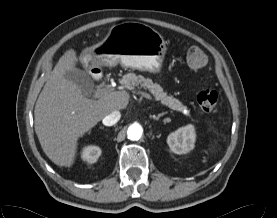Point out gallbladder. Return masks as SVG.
Segmentation results:
<instances>
[{"label":"gallbladder","mask_w":277,"mask_h":218,"mask_svg":"<svg viewBox=\"0 0 277 218\" xmlns=\"http://www.w3.org/2000/svg\"><path fill=\"white\" fill-rule=\"evenodd\" d=\"M64 76L67 80L76 84L84 95H86L94 85L90 75L77 68L67 71Z\"/></svg>","instance_id":"bac80fb5"}]
</instances>
